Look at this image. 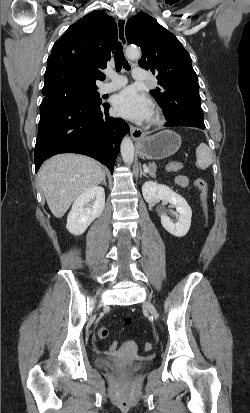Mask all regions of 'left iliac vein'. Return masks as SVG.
Returning a JSON list of instances; mask_svg holds the SVG:
<instances>
[{"label": "left iliac vein", "instance_id": "4c4485c4", "mask_svg": "<svg viewBox=\"0 0 250 413\" xmlns=\"http://www.w3.org/2000/svg\"><path fill=\"white\" fill-rule=\"evenodd\" d=\"M144 307H145L155 318L158 317L157 311H156L155 307H154L151 303H149V302L145 303Z\"/></svg>", "mask_w": 250, "mask_h": 413}]
</instances>
